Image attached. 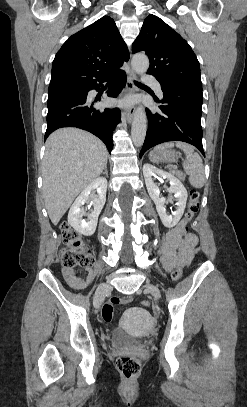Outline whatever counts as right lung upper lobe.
I'll return each instance as SVG.
<instances>
[{"instance_id": "cb5924a9", "label": "right lung upper lobe", "mask_w": 247, "mask_h": 407, "mask_svg": "<svg viewBox=\"0 0 247 407\" xmlns=\"http://www.w3.org/2000/svg\"><path fill=\"white\" fill-rule=\"evenodd\" d=\"M129 59L114 20L104 16L72 35L57 52L49 89L89 87Z\"/></svg>"}]
</instances>
